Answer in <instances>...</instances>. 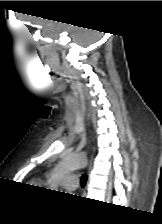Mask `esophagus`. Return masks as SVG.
Listing matches in <instances>:
<instances>
[{
    "instance_id": "34e87169",
    "label": "esophagus",
    "mask_w": 162,
    "mask_h": 224,
    "mask_svg": "<svg viewBox=\"0 0 162 224\" xmlns=\"http://www.w3.org/2000/svg\"><path fill=\"white\" fill-rule=\"evenodd\" d=\"M91 168H92V166H91V162H90L89 167H88V176H89ZM88 183H89V178H88V181H87V184H86V188H87Z\"/></svg>"
}]
</instances>
